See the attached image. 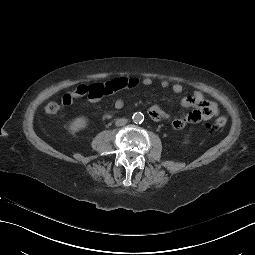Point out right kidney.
<instances>
[{"label":"right kidney","instance_id":"right-kidney-1","mask_svg":"<svg viewBox=\"0 0 255 255\" xmlns=\"http://www.w3.org/2000/svg\"><path fill=\"white\" fill-rule=\"evenodd\" d=\"M86 126V120L84 118H77L69 126L71 132H77Z\"/></svg>","mask_w":255,"mask_h":255}]
</instances>
